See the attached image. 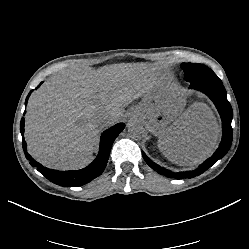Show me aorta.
<instances>
[{"mask_svg": "<svg viewBox=\"0 0 249 249\" xmlns=\"http://www.w3.org/2000/svg\"><path fill=\"white\" fill-rule=\"evenodd\" d=\"M128 134L132 139L140 140L145 135V128L139 122H133L128 126Z\"/></svg>", "mask_w": 249, "mask_h": 249, "instance_id": "762f6f07", "label": "aorta"}]
</instances>
